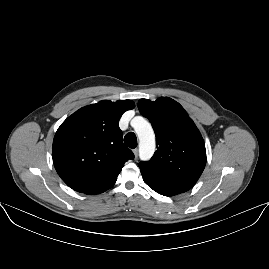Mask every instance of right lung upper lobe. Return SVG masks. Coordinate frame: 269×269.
<instances>
[{
  "label": "right lung upper lobe",
  "instance_id": "obj_1",
  "mask_svg": "<svg viewBox=\"0 0 269 269\" xmlns=\"http://www.w3.org/2000/svg\"><path fill=\"white\" fill-rule=\"evenodd\" d=\"M131 100H103L85 106L58 128L52 148L55 169L75 191L94 194L111 188L124 163L134 154L122 141V114Z\"/></svg>",
  "mask_w": 269,
  "mask_h": 269
}]
</instances>
